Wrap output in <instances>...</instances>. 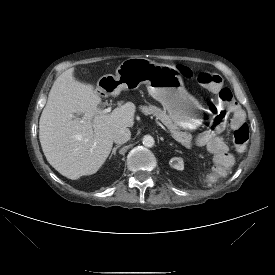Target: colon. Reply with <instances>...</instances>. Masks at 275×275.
I'll list each match as a JSON object with an SVG mask.
<instances>
[{
    "mask_svg": "<svg viewBox=\"0 0 275 275\" xmlns=\"http://www.w3.org/2000/svg\"><path fill=\"white\" fill-rule=\"evenodd\" d=\"M182 73L190 78L191 72L187 68H181ZM196 80L199 84L209 87L216 88L221 82V78L209 72H201L196 76ZM219 110L216 112L214 123L215 126H220L226 123V120L231 111L236 106L233 94L229 88H222L218 93ZM234 144L238 150H243L249 139V128L247 125H243L234 132ZM225 152H227L225 150ZM228 153V152H227ZM228 169V168H227Z\"/></svg>",
    "mask_w": 275,
    "mask_h": 275,
    "instance_id": "colon-1",
    "label": "colon"
}]
</instances>
